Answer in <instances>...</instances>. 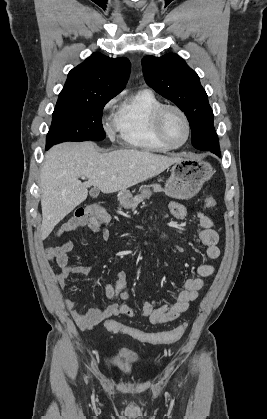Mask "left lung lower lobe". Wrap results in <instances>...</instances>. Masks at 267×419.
<instances>
[{
    "mask_svg": "<svg viewBox=\"0 0 267 419\" xmlns=\"http://www.w3.org/2000/svg\"><path fill=\"white\" fill-rule=\"evenodd\" d=\"M215 154L220 155V150H216Z\"/></svg>",
    "mask_w": 267,
    "mask_h": 419,
    "instance_id": "1",
    "label": "left lung lower lobe"
}]
</instances>
